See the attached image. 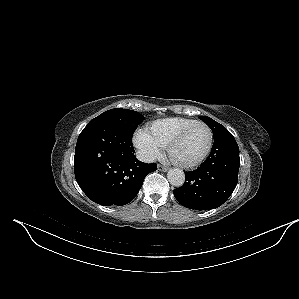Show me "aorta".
<instances>
[{
    "label": "aorta",
    "mask_w": 299,
    "mask_h": 299,
    "mask_svg": "<svg viewBox=\"0 0 299 299\" xmlns=\"http://www.w3.org/2000/svg\"><path fill=\"white\" fill-rule=\"evenodd\" d=\"M168 181L175 187H181L185 182L184 172L180 169H170L167 173Z\"/></svg>",
    "instance_id": "1"
}]
</instances>
